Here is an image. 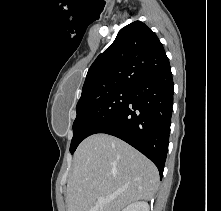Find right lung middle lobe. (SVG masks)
<instances>
[{"label": "right lung middle lobe", "mask_w": 221, "mask_h": 211, "mask_svg": "<svg viewBox=\"0 0 221 211\" xmlns=\"http://www.w3.org/2000/svg\"><path fill=\"white\" fill-rule=\"evenodd\" d=\"M130 95L131 88H120L79 100L76 107L77 116L73 123L71 154L86 137L95 134L108 123L125 106Z\"/></svg>", "instance_id": "right-lung-middle-lobe-1"}]
</instances>
